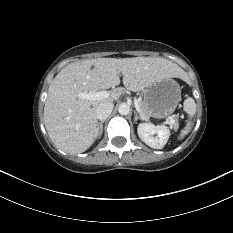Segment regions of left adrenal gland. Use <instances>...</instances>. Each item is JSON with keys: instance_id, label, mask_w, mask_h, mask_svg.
Segmentation results:
<instances>
[{"instance_id": "obj_1", "label": "left adrenal gland", "mask_w": 233, "mask_h": 233, "mask_svg": "<svg viewBox=\"0 0 233 233\" xmlns=\"http://www.w3.org/2000/svg\"><path fill=\"white\" fill-rule=\"evenodd\" d=\"M134 115H135V117H134V123H136L137 120H142V119L138 116L137 112L134 111Z\"/></svg>"}]
</instances>
